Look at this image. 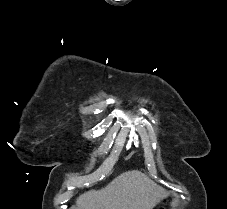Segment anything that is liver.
I'll list each match as a JSON object with an SVG mask.
<instances>
[{
  "mask_svg": "<svg viewBox=\"0 0 227 209\" xmlns=\"http://www.w3.org/2000/svg\"><path fill=\"white\" fill-rule=\"evenodd\" d=\"M158 187L144 173L128 171L101 191H88L76 201L77 209H153L161 199Z\"/></svg>",
  "mask_w": 227,
  "mask_h": 209,
  "instance_id": "1",
  "label": "liver"
}]
</instances>
